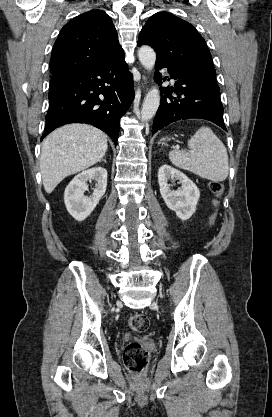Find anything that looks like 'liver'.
<instances>
[{"label": "liver", "instance_id": "6515ba94", "mask_svg": "<svg viewBox=\"0 0 272 417\" xmlns=\"http://www.w3.org/2000/svg\"><path fill=\"white\" fill-rule=\"evenodd\" d=\"M107 148V135L91 125L70 124L50 133L40 156L45 191L50 194L67 176L101 161Z\"/></svg>", "mask_w": 272, "mask_h": 417}]
</instances>
